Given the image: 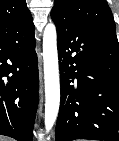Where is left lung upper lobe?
<instances>
[{"label":"left lung upper lobe","mask_w":119,"mask_h":141,"mask_svg":"<svg viewBox=\"0 0 119 141\" xmlns=\"http://www.w3.org/2000/svg\"><path fill=\"white\" fill-rule=\"evenodd\" d=\"M51 17L116 37L115 21L106 0H55Z\"/></svg>","instance_id":"1"}]
</instances>
